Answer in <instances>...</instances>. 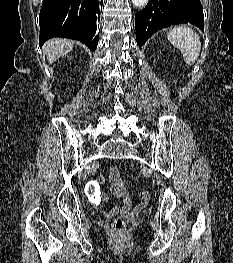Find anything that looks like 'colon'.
Returning a JSON list of instances; mask_svg holds the SVG:
<instances>
[{"instance_id":"colon-1","label":"colon","mask_w":233,"mask_h":263,"mask_svg":"<svg viewBox=\"0 0 233 263\" xmlns=\"http://www.w3.org/2000/svg\"><path fill=\"white\" fill-rule=\"evenodd\" d=\"M99 183L95 182H86V199L89 202H100L102 190H99ZM140 197L143 201L147 202L151 198V193L148 190H143L140 192ZM125 222L121 218H116L112 223V231L115 235H121L125 230Z\"/></svg>"}]
</instances>
